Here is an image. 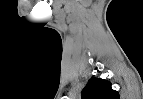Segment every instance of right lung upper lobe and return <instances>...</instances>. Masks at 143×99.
I'll list each match as a JSON object with an SVG mask.
<instances>
[{"label":"right lung upper lobe","mask_w":143,"mask_h":99,"mask_svg":"<svg viewBox=\"0 0 143 99\" xmlns=\"http://www.w3.org/2000/svg\"><path fill=\"white\" fill-rule=\"evenodd\" d=\"M82 99H119V94L111 88L110 81L92 78L82 90Z\"/></svg>","instance_id":"cb5924a9"}]
</instances>
